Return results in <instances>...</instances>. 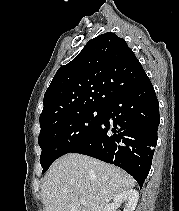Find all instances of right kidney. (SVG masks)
Segmentation results:
<instances>
[{
    "label": "right kidney",
    "mask_w": 179,
    "mask_h": 211,
    "mask_svg": "<svg viewBox=\"0 0 179 211\" xmlns=\"http://www.w3.org/2000/svg\"><path fill=\"white\" fill-rule=\"evenodd\" d=\"M139 193L135 189L125 190L113 198V202L107 205L103 211H116L121 206V203H125L123 211H134L138 202Z\"/></svg>",
    "instance_id": "1"
}]
</instances>
